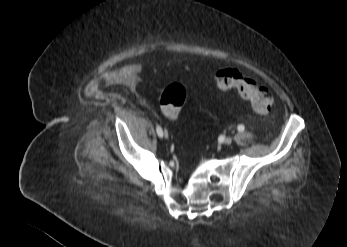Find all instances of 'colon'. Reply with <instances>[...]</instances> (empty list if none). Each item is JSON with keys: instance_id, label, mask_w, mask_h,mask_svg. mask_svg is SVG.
<instances>
[{"instance_id": "obj_1", "label": "colon", "mask_w": 347, "mask_h": 247, "mask_svg": "<svg viewBox=\"0 0 347 247\" xmlns=\"http://www.w3.org/2000/svg\"><path fill=\"white\" fill-rule=\"evenodd\" d=\"M216 85L220 91L226 92L233 89L252 105L258 113H267L273 104V96L270 90L240 73L235 69H222L216 73ZM186 91L180 84L169 85L160 97V106L163 114L171 120H176L184 105Z\"/></svg>"}]
</instances>
